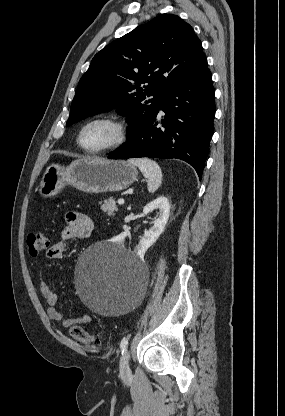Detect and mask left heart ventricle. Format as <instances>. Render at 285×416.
I'll return each instance as SVG.
<instances>
[{
	"label": "left heart ventricle",
	"mask_w": 285,
	"mask_h": 416,
	"mask_svg": "<svg viewBox=\"0 0 285 416\" xmlns=\"http://www.w3.org/2000/svg\"><path fill=\"white\" fill-rule=\"evenodd\" d=\"M113 128L106 123H94L88 126L82 135V144L88 149H99L108 146L114 140Z\"/></svg>",
	"instance_id": "1"
}]
</instances>
